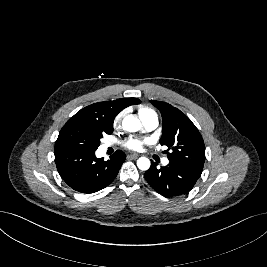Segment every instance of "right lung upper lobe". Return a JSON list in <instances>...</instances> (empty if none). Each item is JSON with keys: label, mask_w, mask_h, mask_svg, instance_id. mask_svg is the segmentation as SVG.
I'll use <instances>...</instances> for the list:
<instances>
[{"label": "right lung upper lobe", "mask_w": 267, "mask_h": 267, "mask_svg": "<svg viewBox=\"0 0 267 267\" xmlns=\"http://www.w3.org/2000/svg\"><path fill=\"white\" fill-rule=\"evenodd\" d=\"M139 103L140 100L137 98H122L114 101L94 103L78 111L73 117L69 119L68 123H98L101 125L113 127L114 118L121 110L130 105Z\"/></svg>", "instance_id": "obj_1"}]
</instances>
